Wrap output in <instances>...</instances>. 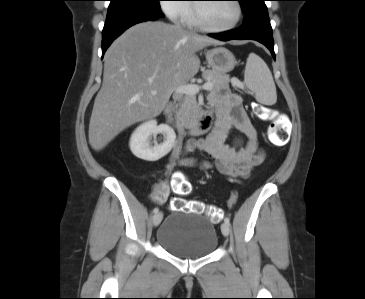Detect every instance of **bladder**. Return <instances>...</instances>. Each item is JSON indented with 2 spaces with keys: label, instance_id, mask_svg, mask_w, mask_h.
<instances>
[{
  "label": "bladder",
  "instance_id": "1",
  "mask_svg": "<svg viewBox=\"0 0 365 299\" xmlns=\"http://www.w3.org/2000/svg\"><path fill=\"white\" fill-rule=\"evenodd\" d=\"M156 240L172 255L181 258H202L212 254L219 239L216 225L195 213L176 210L159 227Z\"/></svg>",
  "mask_w": 365,
  "mask_h": 299
}]
</instances>
